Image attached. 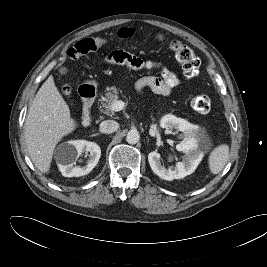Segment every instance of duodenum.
<instances>
[{"instance_id":"duodenum-1","label":"duodenum","mask_w":267,"mask_h":267,"mask_svg":"<svg viewBox=\"0 0 267 267\" xmlns=\"http://www.w3.org/2000/svg\"><path fill=\"white\" fill-rule=\"evenodd\" d=\"M80 95L83 100L81 123L84 127H88L92 121L91 110L97 96V88L93 85H84L80 88Z\"/></svg>"}]
</instances>
